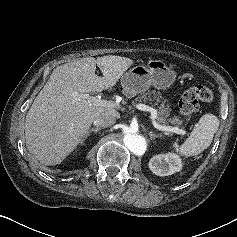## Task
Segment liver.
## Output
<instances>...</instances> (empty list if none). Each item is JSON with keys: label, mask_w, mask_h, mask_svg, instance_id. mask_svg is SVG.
Instances as JSON below:
<instances>
[{"label": "liver", "mask_w": 237, "mask_h": 237, "mask_svg": "<svg viewBox=\"0 0 237 237\" xmlns=\"http://www.w3.org/2000/svg\"><path fill=\"white\" fill-rule=\"evenodd\" d=\"M133 63L129 58L109 55L56 67L26 115L28 151L45 165L60 164L81 143L97 117L118 118L113 108L90 104L82 95L111 89ZM96 65L102 77L95 74Z\"/></svg>", "instance_id": "obj_1"}]
</instances>
